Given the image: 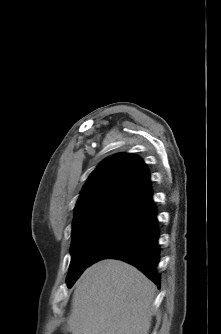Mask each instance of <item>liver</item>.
Instances as JSON below:
<instances>
[{
	"label": "liver",
	"mask_w": 221,
	"mask_h": 334,
	"mask_svg": "<svg viewBox=\"0 0 221 334\" xmlns=\"http://www.w3.org/2000/svg\"><path fill=\"white\" fill-rule=\"evenodd\" d=\"M156 286L137 268L102 260L87 268L76 283L72 334H148Z\"/></svg>",
	"instance_id": "obj_1"
}]
</instances>
